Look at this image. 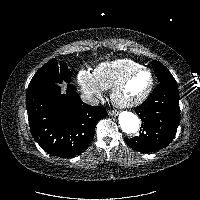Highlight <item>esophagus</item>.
<instances>
[{"mask_svg":"<svg viewBox=\"0 0 200 200\" xmlns=\"http://www.w3.org/2000/svg\"><path fill=\"white\" fill-rule=\"evenodd\" d=\"M109 115L110 116H117L118 115V112L116 110H110L109 111Z\"/></svg>","mask_w":200,"mask_h":200,"instance_id":"esophagus-1","label":"esophagus"}]
</instances>
